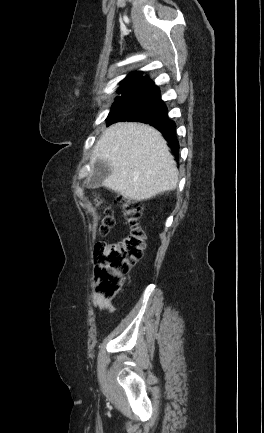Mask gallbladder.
<instances>
[{
    "label": "gallbladder",
    "mask_w": 264,
    "mask_h": 433,
    "mask_svg": "<svg viewBox=\"0 0 264 433\" xmlns=\"http://www.w3.org/2000/svg\"><path fill=\"white\" fill-rule=\"evenodd\" d=\"M111 173L110 165L107 161L97 160L91 169V173L86 181V187L96 189L103 185V182Z\"/></svg>",
    "instance_id": "gallbladder-1"
}]
</instances>
